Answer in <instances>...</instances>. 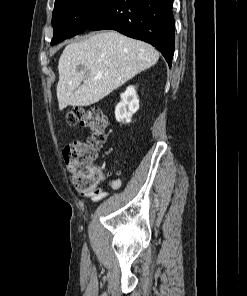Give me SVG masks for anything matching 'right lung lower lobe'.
<instances>
[{"instance_id":"right-lung-lower-lobe-1","label":"right lung lower lobe","mask_w":247,"mask_h":296,"mask_svg":"<svg viewBox=\"0 0 247 296\" xmlns=\"http://www.w3.org/2000/svg\"><path fill=\"white\" fill-rule=\"evenodd\" d=\"M173 0H105L85 30L113 29L156 47L171 66L174 53Z\"/></svg>"}]
</instances>
